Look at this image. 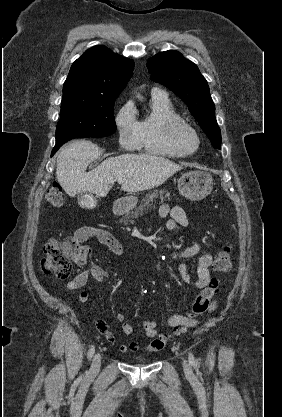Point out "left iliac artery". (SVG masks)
<instances>
[{
  "instance_id": "obj_1",
  "label": "left iliac artery",
  "mask_w": 282,
  "mask_h": 417,
  "mask_svg": "<svg viewBox=\"0 0 282 417\" xmlns=\"http://www.w3.org/2000/svg\"><path fill=\"white\" fill-rule=\"evenodd\" d=\"M188 359H189V363L195 366L196 361H195L194 355L191 352H189L188 354Z\"/></svg>"
}]
</instances>
